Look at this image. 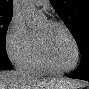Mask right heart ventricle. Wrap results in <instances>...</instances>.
I'll use <instances>...</instances> for the list:
<instances>
[{
  "label": "right heart ventricle",
  "instance_id": "right-heart-ventricle-1",
  "mask_svg": "<svg viewBox=\"0 0 89 89\" xmlns=\"http://www.w3.org/2000/svg\"><path fill=\"white\" fill-rule=\"evenodd\" d=\"M35 37V36H34ZM19 66L27 73L34 75H56L43 63L34 39V45L30 53L19 63Z\"/></svg>",
  "mask_w": 89,
  "mask_h": 89
}]
</instances>
